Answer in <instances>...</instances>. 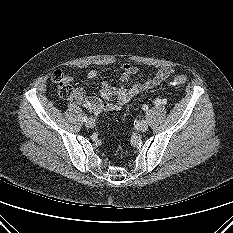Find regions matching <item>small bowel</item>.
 I'll list each match as a JSON object with an SVG mask.
<instances>
[{
  "mask_svg": "<svg viewBox=\"0 0 233 233\" xmlns=\"http://www.w3.org/2000/svg\"><path fill=\"white\" fill-rule=\"evenodd\" d=\"M120 70V81L122 83H126L138 72L137 67L130 63L121 64ZM173 73L174 69L172 67H162L148 79L136 82L130 88L123 85L114 86L110 82L104 81L100 87V97H88L81 88H77L72 98L95 114L119 110L141 92L159 86ZM98 75L99 71L91 70L88 72L87 77L94 79ZM113 99L115 100L113 101Z\"/></svg>",
  "mask_w": 233,
  "mask_h": 233,
  "instance_id": "c3829d8e",
  "label": "small bowel"
}]
</instances>
